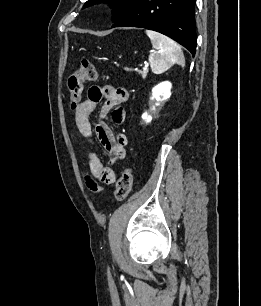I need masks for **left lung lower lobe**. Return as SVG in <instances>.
Returning a JSON list of instances; mask_svg holds the SVG:
<instances>
[{
    "label": "left lung lower lobe",
    "instance_id": "left-lung-lower-lobe-1",
    "mask_svg": "<svg viewBox=\"0 0 261 306\" xmlns=\"http://www.w3.org/2000/svg\"><path fill=\"white\" fill-rule=\"evenodd\" d=\"M196 0H135L114 27H139L160 32L179 42L192 55L196 51Z\"/></svg>",
    "mask_w": 261,
    "mask_h": 306
}]
</instances>
